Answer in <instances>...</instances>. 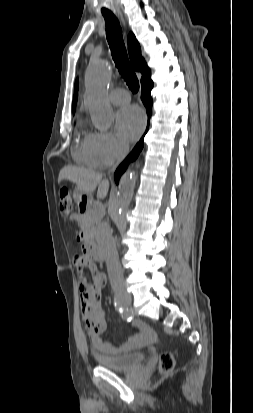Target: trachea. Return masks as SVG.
<instances>
[{"label":"trachea","mask_w":253,"mask_h":413,"mask_svg":"<svg viewBox=\"0 0 253 413\" xmlns=\"http://www.w3.org/2000/svg\"><path fill=\"white\" fill-rule=\"evenodd\" d=\"M103 17L106 24L107 41L115 65L129 89L136 93L139 90V81L129 62L119 21L113 14H103Z\"/></svg>","instance_id":"obj_1"}]
</instances>
